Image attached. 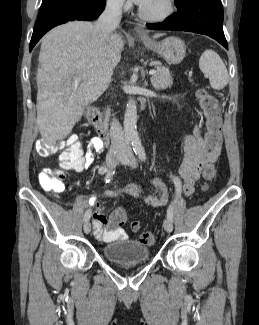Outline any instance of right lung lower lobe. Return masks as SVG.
Instances as JSON below:
<instances>
[{
  "label": "right lung lower lobe",
  "mask_w": 259,
  "mask_h": 325,
  "mask_svg": "<svg viewBox=\"0 0 259 325\" xmlns=\"http://www.w3.org/2000/svg\"><path fill=\"white\" fill-rule=\"evenodd\" d=\"M106 0H58L41 9L33 30L30 51L53 27L73 20H94L104 10Z\"/></svg>",
  "instance_id": "obj_1"
}]
</instances>
